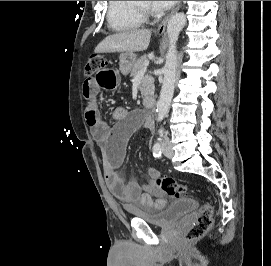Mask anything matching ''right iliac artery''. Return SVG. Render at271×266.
<instances>
[{"label":"right iliac artery","mask_w":271,"mask_h":266,"mask_svg":"<svg viewBox=\"0 0 271 266\" xmlns=\"http://www.w3.org/2000/svg\"><path fill=\"white\" fill-rule=\"evenodd\" d=\"M162 153V147L160 143H155L153 146V155L154 157H160Z\"/></svg>","instance_id":"1"}]
</instances>
